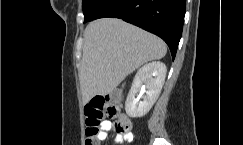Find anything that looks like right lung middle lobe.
<instances>
[{
    "instance_id": "right-lung-middle-lobe-1",
    "label": "right lung middle lobe",
    "mask_w": 243,
    "mask_h": 145,
    "mask_svg": "<svg viewBox=\"0 0 243 145\" xmlns=\"http://www.w3.org/2000/svg\"><path fill=\"white\" fill-rule=\"evenodd\" d=\"M91 2H92V0H83L82 1V8H83V10H85L91 4Z\"/></svg>"
}]
</instances>
